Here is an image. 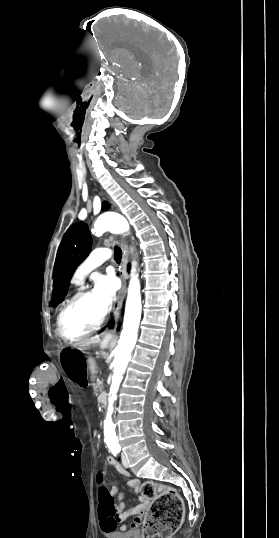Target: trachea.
Returning <instances> with one entry per match:
<instances>
[{"instance_id": "obj_1", "label": "trachea", "mask_w": 279, "mask_h": 538, "mask_svg": "<svg viewBox=\"0 0 279 538\" xmlns=\"http://www.w3.org/2000/svg\"><path fill=\"white\" fill-rule=\"evenodd\" d=\"M114 258L117 262H120L122 258V251L119 247H115L114 249Z\"/></svg>"}]
</instances>
